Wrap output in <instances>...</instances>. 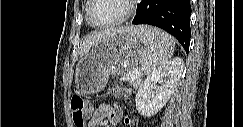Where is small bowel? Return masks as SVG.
<instances>
[{
	"instance_id": "1",
	"label": "small bowel",
	"mask_w": 243,
	"mask_h": 127,
	"mask_svg": "<svg viewBox=\"0 0 243 127\" xmlns=\"http://www.w3.org/2000/svg\"><path fill=\"white\" fill-rule=\"evenodd\" d=\"M121 117L122 109L116 102L102 103L92 113L87 127L100 126L104 120H107L110 126L116 127L119 125Z\"/></svg>"
}]
</instances>
